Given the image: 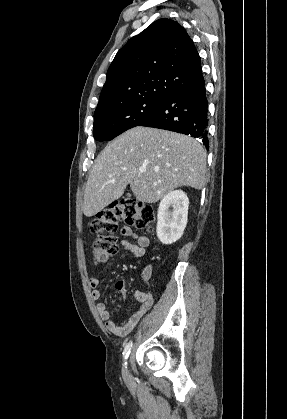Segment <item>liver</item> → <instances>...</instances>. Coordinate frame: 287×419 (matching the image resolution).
Wrapping results in <instances>:
<instances>
[{
	"label": "liver",
	"mask_w": 287,
	"mask_h": 419,
	"mask_svg": "<svg viewBox=\"0 0 287 419\" xmlns=\"http://www.w3.org/2000/svg\"><path fill=\"white\" fill-rule=\"evenodd\" d=\"M206 157L203 146L190 136L132 128L96 158L85 187L83 213L94 216L120 198L128 184L143 203H155L182 186L200 190L206 183Z\"/></svg>",
	"instance_id": "6515ba94"
}]
</instances>
